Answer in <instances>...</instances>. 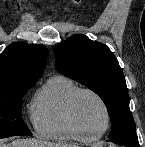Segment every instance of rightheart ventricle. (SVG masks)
Masks as SVG:
<instances>
[{"mask_svg":"<svg viewBox=\"0 0 145 147\" xmlns=\"http://www.w3.org/2000/svg\"><path fill=\"white\" fill-rule=\"evenodd\" d=\"M78 89L75 82L63 75L47 80L31 106V119L38 136L59 141H87L79 134L67 115V101Z\"/></svg>","mask_w":145,"mask_h":147,"instance_id":"obj_1","label":"right heart ventricle"}]
</instances>
